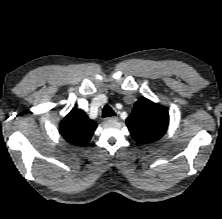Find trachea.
Masks as SVG:
<instances>
[{"instance_id":"trachea-1","label":"trachea","mask_w":222,"mask_h":219,"mask_svg":"<svg viewBox=\"0 0 222 219\" xmlns=\"http://www.w3.org/2000/svg\"><path fill=\"white\" fill-rule=\"evenodd\" d=\"M115 112L113 111V109L106 105L104 106L103 110H102V117H111V116H115Z\"/></svg>"}]
</instances>
